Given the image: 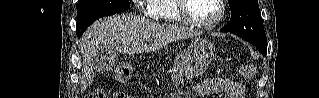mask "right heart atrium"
Segmentation results:
<instances>
[{"label": "right heart atrium", "instance_id": "right-heart-atrium-1", "mask_svg": "<svg viewBox=\"0 0 319 98\" xmlns=\"http://www.w3.org/2000/svg\"><path fill=\"white\" fill-rule=\"evenodd\" d=\"M145 12L147 13V14H149L151 17H155L150 11H148L147 9L145 10Z\"/></svg>", "mask_w": 319, "mask_h": 98}]
</instances>
